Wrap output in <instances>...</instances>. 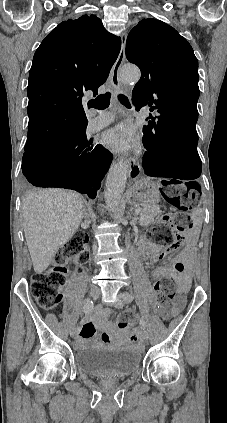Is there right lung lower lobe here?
<instances>
[{"instance_id": "98d812e1", "label": "right lung lower lobe", "mask_w": 227, "mask_h": 423, "mask_svg": "<svg viewBox=\"0 0 227 423\" xmlns=\"http://www.w3.org/2000/svg\"><path fill=\"white\" fill-rule=\"evenodd\" d=\"M55 113L56 109L45 106L34 115L50 116ZM87 123L25 151L22 172L29 183L37 187L73 189L91 199L96 197L112 155L101 145L94 147L93 139L86 136Z\"/></svg>"}]
</instances>
